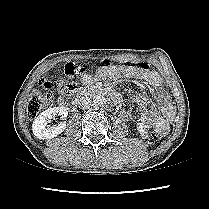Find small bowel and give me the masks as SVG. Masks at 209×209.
Listing matches in <instances>:
<instances>
[{
    "instance_id": "c3829d8e",
    "label": "small bowel",
    "mask_w": 209,
    "mask_h": 209,
    "mask_svg": "<svg viewBox=\"0 0 209 209\" xmlns=\"http://www.w3.org/2000/svg\"><path fill=\"white\" fill-rule=\"evenodd\" d=\"M96 79L117 82L133 80L142 90L141 94L133 97L138 105L139 115L149 120L155 131L161 128L167 130L169 122L175 115V107L171 104L169 95L161 88L162 78L156 71L150 70L147 64H114L105 61L98 68L96 76L85 70L80 74L83 85H91ZM152 97L159 102V109L148 108ZM63 98L64 96H61L60 101ZM129 115L128 112L125 113L126 117Z\"/></svg>"
}]
</instances>
